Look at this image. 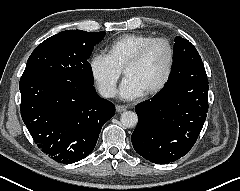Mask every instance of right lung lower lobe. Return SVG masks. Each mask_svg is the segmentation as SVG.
Instances as JSON below:
<instances>
[{
  "instance_id": "98d812e1",
  "label": "right lung lower lobe",
  "mask_w": 240,
  "mask_h": 191,
  "mask_svg": "<svg viewBox=\"0 0 240 191\" xmlns=\"http://www.w3.org/2000/svg\"><path fill=\"white\" fill-rule=\"evenodd\" d=\"M21 116L39 149L53 160L71 164L94 149L101 128L115 107L93 86L54 76L21 77Z\"/></svg>"
}]
</instances>
